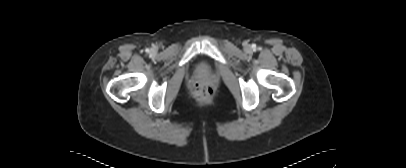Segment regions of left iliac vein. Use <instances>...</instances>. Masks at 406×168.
Wrapping results in <instances>:
<instances>
[{
    "label": "left iliac vein",
    "instance_id": "1",
    "mask_svg": "<svg viewBox=\"0 0 406 168\" xmlns=\"http://www.w3.org/2000/svg\"><path fill=\"white\" fill-rule=\"evenodd\" d=\"M250 50V48H249V46H247V51H249Z\"/></svg>",
    "mask_w": 406,
    "mask_h": 168
}]
</instances>
